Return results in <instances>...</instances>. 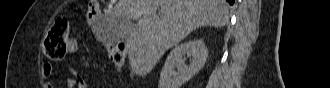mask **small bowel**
Returning <instances> with one entry per match:
<instances>
[{
	"label": "small bowel",
	"mask_w": 330,
	"mask_h": 88,
	"mask_svg": "<svg viewBox=\"0 0 330 88\" xmlns=\"http://www.w3.org/2000/svg\"><path fill=\"white\" fill-rule=\"evenodd\" d=\"M105 48L108 52L109 57L111 55H116L120 52L118 47L115 46V45L108 44ZM77 50H78V37H77V35L74 34L70 37L69 43H68L67 48H66L65 55L74 54V53L77 52ZM121 57H122V62H123L122 54H121ZM54 71H55V68L50 63H45L42 67V75H43L44 78H47L50 75H52L54 73ZM66 86L68 88H74L76 86V80L75 79H69L66 83ZM88 87L89 86L87 85L86 82L80 81L79 88H88Z\"/></svg>",
	"instance_id": "small-bowel-1"
}]
</instances>
